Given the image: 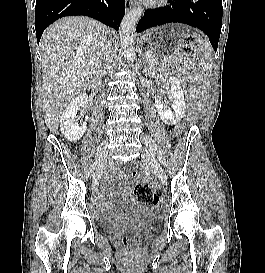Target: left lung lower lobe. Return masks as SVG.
Instances as JSON below:
<instances>
[{
    "mask_svg": "<svg viewBox=\"0 0 265 273\" xmlns=\"http://www.w3.org/2000/svg\"><path fill=\"white\" fill-rule=\"evenodd\" d=\"M222 0H171L165 9L147 10L138 22L139 33L166 23H184L197 27L208 35L217 51L222 26Z\"/></svg>",
    "mask_w": 265,
    "mask_h": 273,
    "instance_id": "0a47b994",
    "label": "left lung lower lobe"
}]
</instances>
